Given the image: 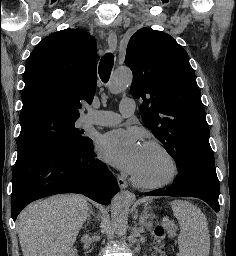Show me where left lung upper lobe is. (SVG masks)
Returning <instances> with one entry per match:
<instances>
[{"label":"left lung upper lobe","instance_id":"obj_1","mask_svg":"<svg viewBox=\"0 0 236 256\" xmlns=\"http://www.w3.org/2000/svg\"><path fill=\"white\" fill-rule=\"evenodd\" d=\"M125 64L133 72L131 94L143 100L144 123L174 158L214 164L204 105L187 52L170 35L149 28L130 38Z\"/></svg>","mask_w":236,"mask_h":256}]
</instances>
